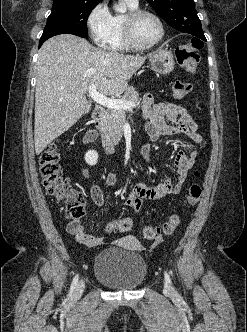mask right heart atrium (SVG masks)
<instances>
[{
    "label": "right heart atrium",
    "mask_w": 247,
    "mask_h": 332,
    "mask_svg": "<svg viewBox=\"0 0 247 332\" xmlns=\"http://www.w3.org/2000/svg\"><path fill=\"white\" fill-rule=\"evenodd\" d=\"M112 24V14L104 0L99 1L86 17V27L91 39L99 46H105Z\"/></svg>",
    "instance_id": "d8ad5b80"
}]
</instances>
